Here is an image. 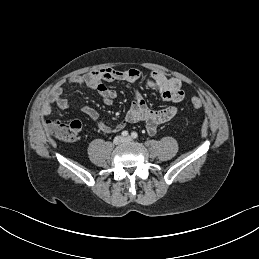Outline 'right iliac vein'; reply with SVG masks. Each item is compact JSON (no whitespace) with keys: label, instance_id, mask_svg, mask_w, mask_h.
<instances>
[{"label":"right iliac vein","instance_id":"1","mask_svg":"<svg viewBox=\"0 0 259 259\" xmlns=\"http://www.w3.org/2000/svg\"><path fill=\"white\" fill-rule=\"evenodd\" d=\"M113 142H114L115 145H119L122 142H124V139L121 136H117V137L114 138Z\"/></svg>","mask_w":259,"mask_h":259}]
</instances>
